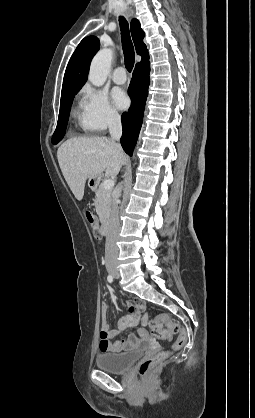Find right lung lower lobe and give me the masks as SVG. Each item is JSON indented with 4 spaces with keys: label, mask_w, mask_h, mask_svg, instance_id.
Instances as JSON below:
<instances>
[{
    "label": "right lung lower lobe",
    "mask_w": 255,
    "mask_h": 418,
    "mask_svg": "<svg viewBox=\"0 0 255 418\" xmlns=\"http://www.w3.org/2000/svg\"><path fill=\"white\" fill-rule=\"evenodd\" d=\"M150 63L135 66L128 94L132 100V106L128 112L122 115L123 134L121 145L125 152L132 155L134 146L141 129L148 86L150 83Z\"/></svg>",
    "instance_id": "98d812e1"
}]
</instances>
